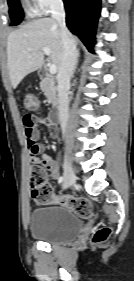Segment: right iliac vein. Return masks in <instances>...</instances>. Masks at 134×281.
<instances>
[{"label": "right iliac vein", "instance_id": "1", "mask_svg": "<svg viewBox=\"0 0 134 281\" xmlns=\"http://www.w3.org/2000/svg\"><path fill=\"white\" fill-rule=\"evenodd\" d=\"M64 183L63 188L66 189L75 183V173L71 163L68 161L67 157L64 159Z\"/></svg>", "mask_w": 134, "mask_h": 281}]
</instances>
